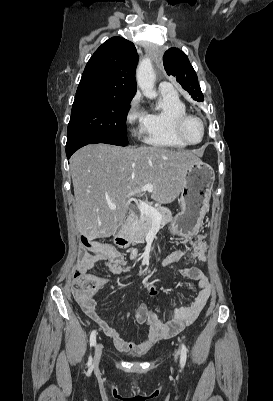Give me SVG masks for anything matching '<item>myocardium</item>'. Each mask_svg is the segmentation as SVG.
Segmentation results:
<instances>
[{
    "instance_id": "f54148a6",
    "label": "myocardium",
    "mask_w": 273,
    "mask_h": 401,
    "mask_svg": "<svg viewBox=\"0 0 273 401\" xmlns=\"http://www.w3.org/2000/svg\"><path fill=\"white\" fill-rule=\"evenodd\" d=\"M191 118H196V119H198L199 122H200L201 125H202V128H203V137H202V139H201L199 142H191V141H188V140L184 137V135H183V128H184V125H185L186 122H187L189 119H191ZM173 130H174L175 136H176L181 142H183L184 144H186L187 146H198V145H201V144L207 139V136H208V128H207V124H206L205 120H204L202 117L198 116V115L190 114V113H186V114L182 115L181 117L177 118V119L175 120V122H174Z\"/></svg>"
}]
</instances>
